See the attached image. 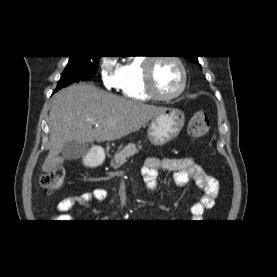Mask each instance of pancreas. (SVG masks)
I'll use <instances>...</instances> for the list:
<instances>
[{"instance_id":"obj_1","label":"pancreas","mask_w":277,"mask_h":277,"mask_svg":"<svg viewBox=\"0 0 277 277\" xmlns=\"http://www.w3.org/2000/svg\"><path fill=\"white\" fill-rule=\"evenodd\" d=\"M138 148L141 149V146L138 147L135 144H128L126 145L120 152L116 153L114 158L111 160L110 166L114 169L119 168L122 166L129 157L137 154L139 152Z\"/></svg>"}]
</instances>
